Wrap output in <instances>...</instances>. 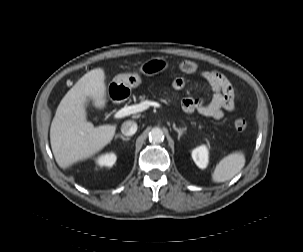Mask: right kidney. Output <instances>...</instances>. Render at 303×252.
<instances>
[{"label": "right kidney", "instance_id": "obj_1", "mask_svg": "<svg viewBox=\"0 0 303 252\" xmlns=\"http://www.w3.org/2000/svg\"><path fill=\"white\" fill-rule=\"evenodd\" d=\"M116 159H117V157L114 153H107V154H104V155H101L100 157H98L96 159V163L100 167H103V166L112 167L115 164Z\"/></svg>", "mask_w": 303, "mask_h": 252}]
</instances>
